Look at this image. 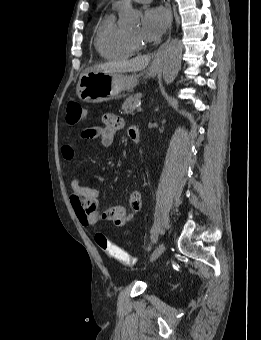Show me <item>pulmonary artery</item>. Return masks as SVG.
Returning a JSON list of instances; mask_svg holds the SVG:
<instances>
[{
  "label": "pulmonary artery",
  "mask_w": 261,
  "mask_h": 340,
  "mask_svg": "<svg viewBox=\"0 0 261 340\" xmlns=\"http://www.w3.org/2000/svg\"><path fill=\"white\" fill-rule=\"evenodd\" d=\"M135 2H138V3H148L150 2L151 0H134ZM122 4V0H116L113 2V7L114 8H118L120 7Z\"/></svg>",
  "instance_id": "e3ab8cb5"
}]
</instances>
